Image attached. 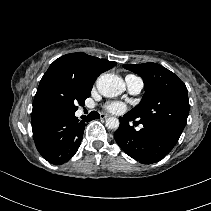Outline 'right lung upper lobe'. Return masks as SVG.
<instances>
[{
  "mask_svg": "<svg viewBox=\"0 0 211 211\" xmlns=\"http://www.w3.org/2000/svg\"><path fill=\"white\" fill-rule=\"evenodd\" d=\"M115 65L116 62L89 56L83 52L70 53L56 59L40 81L33 101L31 122L49 118L45 110V97L52 86L73 83L82 87H92L102 72Z\"/></svg>",
  "mask_w": 211,
  "mask_h": 211,
  "instance_id": "right-lung-upper-lobe-1",
  "label": "right lung upper lobe"
}]
</instances>
